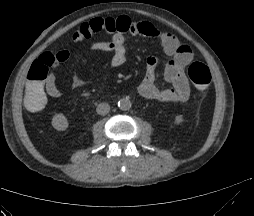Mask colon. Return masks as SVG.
<instances>
[{"label": "colon", "mask_w": 254, "mask_h": 216, "mask_svg": "<svg viewBox=\"0 0 254 216\" xmlns=\"http://www.w3.org/2000/svg\"><path fill=\"white\" fill-rule=\"evenodd\" d=\"M59 63L58 53H45L33 62L28 72L27 83L22 87L20 97L24 107L33 113L43 111L49 102L47 92L43 89L44 82L50 69ZM188 76L199 92H205L212 80L209 67L200 62L193 61L188 67Z\"/></svg>", "instance_id": "1"}]
</instances>
